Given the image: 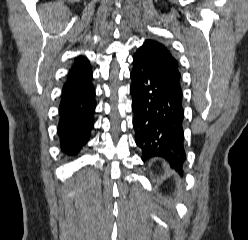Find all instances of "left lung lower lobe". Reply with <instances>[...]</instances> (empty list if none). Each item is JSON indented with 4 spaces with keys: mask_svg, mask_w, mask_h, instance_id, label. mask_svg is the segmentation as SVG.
Returning a JSON list of instances; mask_svg holds the SVG:
<instances>
[{
    "mask_svg": "<svg viewBox=\"0 0 248 240\" xmlns=\"http://www.w3.org/2000/svg\"><path fill=\"white\" fill-rule=\"evenodd\" d=\"M130 76L133 127L142 160L161 157L182 172L186 159L182 89L137 55Z\"/></svg>",
    "mask_w": 248,
    "mask_h": 240,
    "instance_id": "obj_1",
    "label": "left lung lower lobe"
}]
</instances>
